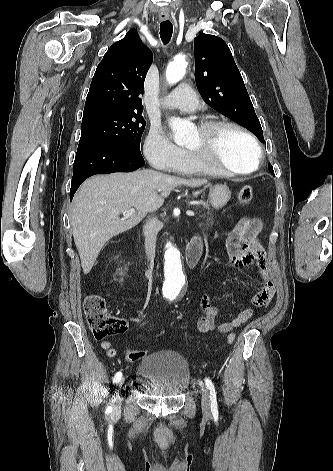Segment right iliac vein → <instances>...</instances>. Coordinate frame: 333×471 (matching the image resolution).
Listing matches in <instances>:
<instances>
[{
    "instance_id": "right-iliac-vein-1",
    "label": "right iliac vein",
    "mask_w": 333,
    "mask_h": 471,
    "mask_svg": "<svg viewBox=\"0 0 333 471\" xmlns=\"http://www.w3.org/2000/svg\"><path fill=\"white\" fill-rule=\"evenodd\" d=\"M124 382V379H120L118 384L115 386V391H114V400H113V405H114V410H118L121 407V397H120V392H121V387Z\"/></svg>"
}]
</instances>
